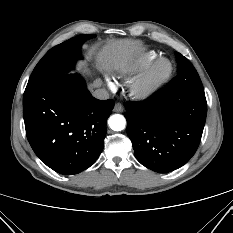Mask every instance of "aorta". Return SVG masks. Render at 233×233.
<instances>
[{"mask_svg":"<svg viewBox=\"0 0 233 233\" xmlns=\"http://www.w3.org/2000/svg\"><path fill=\"white\" fill-rule=\"evenodd\" d=\"M109 127L114 131H121L126 126V120L123 115L114 114L108 119Z\"/></svg>","mask_w":233,"mask_h":233,"instance_id":"obj_1","label":"aorta"}]
</instances>
